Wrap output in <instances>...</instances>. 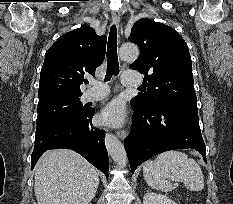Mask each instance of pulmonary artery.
<instances>
[{"label":"pulmonary artery","instance_id":"1","mask_svg":"<svg viewBox=\"0 0 233 204\" xmlns=\"http://www.w3.org/2000/svg\"><path fill=\"white\" fill-rule=\"evenodd\" d=\"M142 79L140 75L132 72H126L122 77V83L125 86H135L141 84ZM91 88L86 90L83 93L82 99L83 101H96L103 99L109 93V89L107 85L102 84L97 81H91Z\"/></svg>","mask_w":233,"mask_h":204}]
</instances>
